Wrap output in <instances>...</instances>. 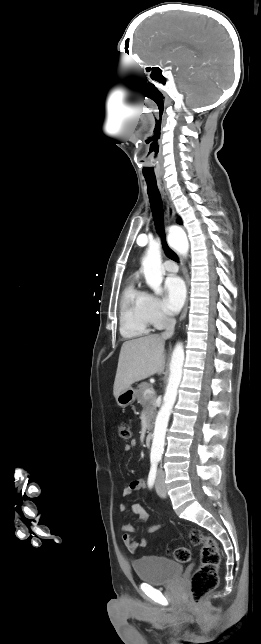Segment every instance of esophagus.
I'll list each match as a JSON object with an SVG mask.
<instances>
[{
	"label": "esophagus",
	"instance_id": "obj_1",
	"mask_svg": "<svg viewBox=\"0 0 261 644\" xmlns=\"http://www.w3.org/2000/svg\"><path fill=\"white\" fill-rule=\"evenodd\" d=\"M164 198H165V201H166L167 217H168V221L170 222V221H172V220L174 219V217H175V210H174V208H173L172 204L169 202V200H167V198H166V197H164ZM183 273H184V277H185V282H186L187 290L189 291L190 278H189L188 270H187V268H186V267H184V268H183ZM188 293H189V292H188ZM188 304H189V298H188V295H187L186 302H185V305H184L183 311H182L181 316H180V319H181V320H183V319L186 317V315H187V311H188V308H189V307H188Z\"/></svg>",
	"mask_w": 261,
	"mask_h": 644
}]
</instances>
